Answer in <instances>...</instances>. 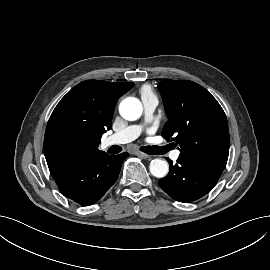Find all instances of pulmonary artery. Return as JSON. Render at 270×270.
I'll return each instance as SVG.
<instances>
[{"label": "pulmonary artery", "instance_id": "1", "mask_svg": "<svg viewBox=\"0 0 270 270\" xmlns=\"http://www.w3.org/2000/svg\"><path fill=\"white\" fill-rule=\"evenodd\" d=\"M144 107L145 120L147 124L153 120L155 109L158 105V99L155 95L142 97ZM144 131V125H130L121 131L114 133L107 139V145L124 144L131 142L138 138ZM180 156V150L177 149L172 152L171 158L177 160Z\"/></svg>", "mask_w": 270, "mask_h": 270}]
</instances>
